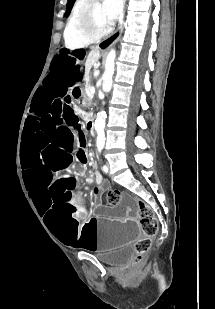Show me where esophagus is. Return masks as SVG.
Instances as JSON below:
<instances>
[{"instance_id": "34e87169", "label": "esophagus", "mask_w": 215, "mask_h": 309, "mask_svg": "<svg viewBox=\"0 0 215 309\" xmlns=\"http://www.w3.org/2000/svg\"><path fill=\"white\" fill-rule=\"evenodd\" d=\"M123 26L120 25L119 29L111 37L105 38L98 44V47L102 50H108L114 43H116L121 37Z\"/></svg>"}]
</instances>
